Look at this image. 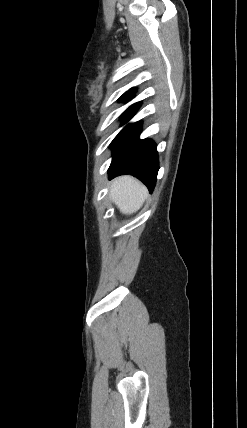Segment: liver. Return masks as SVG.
Segmentation results:
<instances>
[{
    "label": "liver",
    "mask_w": 247,
    "mask_h": 428,
    "mask_svg": "<svg viewBox=\"0 0 247 428\" xmlns=\"http://www.w3.org/2000/svg\"><path fill=\"white\" fill-rule=\"evenodd\" d=\"M147 196V188L129 175L114 179L109 192L110 199L120 212L126 215L139 210Z\"/></svg>",
    "instance_id": "6515ba94"
}]
</instances>
